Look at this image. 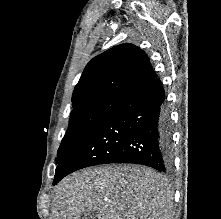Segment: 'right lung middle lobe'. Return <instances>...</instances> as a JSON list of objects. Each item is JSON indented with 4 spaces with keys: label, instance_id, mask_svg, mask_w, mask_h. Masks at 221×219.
I'll use <instances>...</instances> for the list:
<instances>
[{
    "label": "right lung middle lobe",
    "instance_id": "right-lung-middle-lobe-1",
    "mask_svg": "<svg viewBox=\"0 0 221 219\" xmlns=\"http://www.w3.org/2000/svg\"><path fill=\"white\" fill-rule=\"evenodd\" d=\"M121 102L119 99H98L73 107L68 130L58 149L59 164L68 154L86 141Z\"/></svg>",
    "mask_w": 221,
    "mask_h": 219
}]
</instances>
